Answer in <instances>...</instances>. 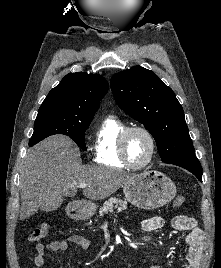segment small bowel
<instances>
[{
	"label": "small bowel",
	"mask_w": 221,
	"mask_h": 268,
	"mask_svg": "<svg viewBox=\"0 0 221 268\" xmlns=\"http://www.w3.org/2000/svg\"><path fill=\"white\" fill-rule=\"evenodd\" d=\"M164 223L165 221L162 217L156 216L144 220L142 228L146 232H152L162 228ZM172 227L178 231L188 232L185 238L187 254L184 268H198L204 241L203 231L197 226L196 220L193 217L186 215L175 216L172 220ZM70 244H75L79 248L86 250L90 247V240L82 235L73 234L62 239L54 240L48 244L39 243L36 245L37 255L34 258L35 266L42 267L45 265L47 261L45 254L47 252L65 251ZM152 268L161 267L154 266Z\"/></svg>",
	"instance_id": "c3829d8e"
}]
</instances>
